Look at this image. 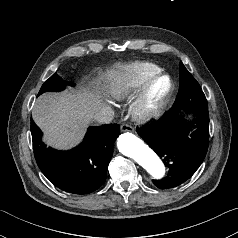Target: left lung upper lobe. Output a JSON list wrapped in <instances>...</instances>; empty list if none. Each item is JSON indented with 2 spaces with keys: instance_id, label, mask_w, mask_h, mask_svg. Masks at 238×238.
<instances>
[{
  "instance_id": "1",
  "label": "left lung upper lobe",
  "mask_w": 238,
  "mask_h": 238,
  "mask_svg": "<svg viewBox=\"0 0 238 238\" xmlns=\"http://www.w3.org/2000/svg\"><path fill=\"white\" fill-rule=\"evenodd\" d=\"M180 88L175 103L184 102L188 106L207 105L205 95L198 82L191 76L183 63H180Z\"/></svg>"
}]
</instances>
